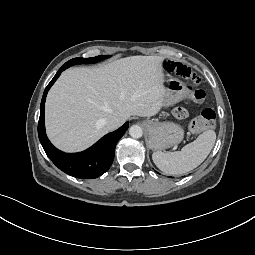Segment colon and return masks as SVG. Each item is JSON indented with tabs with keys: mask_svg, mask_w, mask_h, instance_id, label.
<instances>
[{
	"mask_svg": "<svg viewBox=\"0 0 255 255\" xmlns=\"http://www.w3.org/2000/svg\"><path fill=\"white\" fill-rule=\"evenodd\" d=\"M167 71L175 73L197 85L200 83L199 77L185 64L175 61H167L165 63ZM205 92L201 89H196L193 93V99L200 102L204 99ZM216 120V113L210 108L204 109L195 119L190 123V129L193 132H201L214 126Z\"/></svg>",
	"mask_w": 255,
	"mask_h": 255,
	"instance_id": "1",
	"label": "colon"
}]
</instances>
